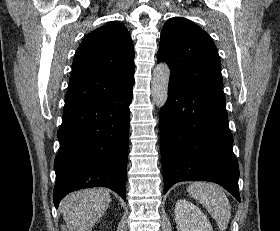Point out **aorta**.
Returning a JSON list of instances; mask_svg holds the SVG:
<instances>
[{
	"mask_svg": "<svg viewBox=\"0 0 280 231\" xmlns=\"http://www.w3.org/2000/svg\"><path fill=\"white\" fill-rule=\"evenodd\" d=\"M170 68L164 62L155 66L151 82V94L157 108H163L168 98Z\"/></svg>",
	"mask_w": 280,
	"mask_h": 231,
	"instance_id": "1",
	"label": "aorta"
}]
</instances>
